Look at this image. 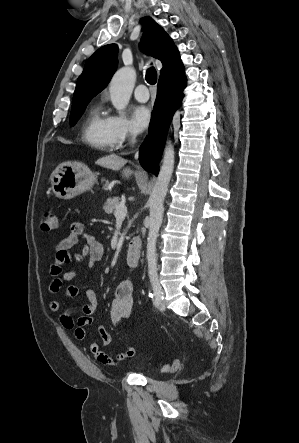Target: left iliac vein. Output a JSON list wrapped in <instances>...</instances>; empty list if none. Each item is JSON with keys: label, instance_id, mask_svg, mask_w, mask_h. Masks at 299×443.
I'll use <instances>...</instances> for the list:
<instances>
[{"label": "left iliac vein", "instance_id": "1", "mask_svg": "<svg viewBox=\"0 0 299 443\" xmlns=\"http://www.w3.org/2000/svg\"><path fill=\"white\" fill-rule=\"evenodd\" d=\"M161 292H162V295H163V290L162 289H161ZM158 308L160 310H165V308H166L165 301L161 300V302L158 305Z\"/></svg>", "mask_w": 299, "mask_h": 443}]
</instances>
